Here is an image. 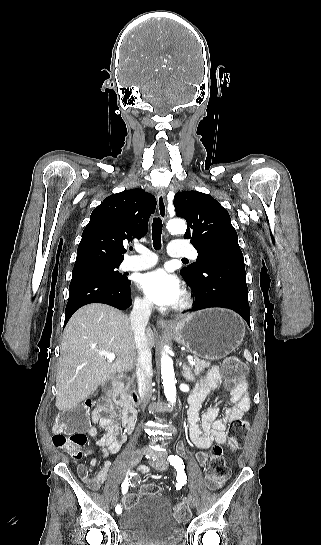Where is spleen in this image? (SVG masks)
Instances as JSON below:
<instances>
[{
  "label": "spleen",
  "instance_id": "1",
  "mask_svg": "<svg viewBox=\"0 0 321 545\" xmlns=\"http://www.w3.org/2000/svg\"><path fill=\"white\" fill-rule=\"evenodd\" d=\"M243 357H245L246 361H249V363H251V361H252L251 353H249V351H247V349H245V351L243 353Z\"/></svg>",
  "mask_w": 321,
  "mask_h": 545
}]
</instances>
